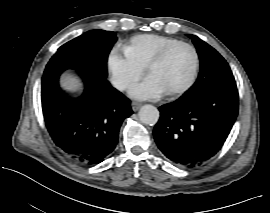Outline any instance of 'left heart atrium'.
Wrapping results in <instances>:
<instances>
[{
  "label": "left heart atrium",
  "instance_id": "obj_1",
  "mask_svg": "<svg viewBox=\"0 0 270 213\" xmlns=\"http://www.w3.org/2000/svg\"><path fill=\"white\" fill-rule=\"evenodd\" d=\"M164 91L159 81L155 77L149 76L134 86L130 94L138 100H156L163 95Z\"/></svg>",
  "mask_w": 270,
  "mask_h": 213
}]
</instances>
